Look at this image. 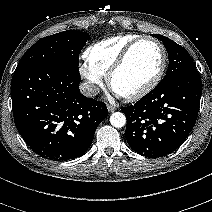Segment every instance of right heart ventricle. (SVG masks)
Segmentation results:
<instances>
[{
    "instance_id": "obj_1",
    "label": "right heart ventricle",
    "mask_w": 212,
    "mask_h": 212,
    "mask_svg": "<svg viewBox=\"0 0 212 212\" xmlns=\"http://www.w3.org/2000/svg\"><path fill=\"white\" fill-rule=\"evenodd\" d=\"M137 38L139 36L135 34H122L101 40L89 46L84 57L92 67L105 75L126 46Z\"/></svg>"
}]
</instances>
